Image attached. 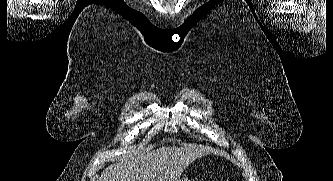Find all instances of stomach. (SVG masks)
<instances>
[{"mask_svg":"<svg viewBox=\"0 0 333 181\" xmlns=\"http://www.w3.org/2000/svg\"><path fill=\"white\" fill-rule=\"evenodd\" d=\"M177 181H191V180L189 178L182 177V178H179Z\"/></svg>","mask_w":333,"mask_h":181,"instance_id":"stomach-1","label":"stomach"}]
</instances>
